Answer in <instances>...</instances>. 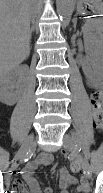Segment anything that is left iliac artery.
<instances>
[{
    "label": "left iliac artery",
    "instance_id": "left-iliac-artery-1",
    "mask_svg": "<svg viewBox=\"0 0 103 193\" xmlns=\"http://www.w3.org/2000/svg\"><path fill=\"white\" fill-rule=\"evenodd\" d=\"M74 138L76 139V146L82 150L84 156L86 159H89L90 158V152H89V149L88 147L82 143L78 138H76V136L74 135Z\"/></svg>",
    "mask_w": 103,
    "mask_h": 193
}]
</instances>
